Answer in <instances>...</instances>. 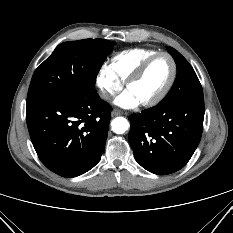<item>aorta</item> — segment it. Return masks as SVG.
Here are the masks:
<instances>
[{
  "label": "aorta",
  "mask_w": 233,
  "mask_h": 233,
  "mask_svg": "<svg viewBox=\"0 0 233 233\" xmlns=\"http://www.w3.org/2000/svg\"><path fill=\"white\" fill-rule=\"evenodd\" d=\"M112 130L116 134H123L129 128V122L124 117H116L111 122Z\"/></svg>",
  "instance_id": "1"
}]
</instances>
